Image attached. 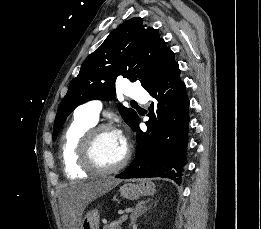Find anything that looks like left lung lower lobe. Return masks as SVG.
<instances>
[{"label": "left lung lower lobe", "mask_w": 261, "mask_h": 229, "mask_svg": "<svg viewBox=\"0 0 261 229\" xmlns=\"http://www.w3.org/2000/svg\"><path fill=\"white\" fill-rule=\"evenodd\" d=\"M176 63L150 86L145 88L157 101L153 103L147 133L138 127L137 117L132 130L136 132L137 151L133 162L116 178L163 177L178 181L187 164L189 100Z\"/></svg>", "instance_id": "left-lung-lower-lobe-1"}]
</instances>
